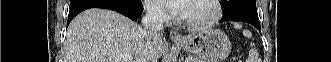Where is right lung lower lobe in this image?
<instances>
[{
  "instance_id": "obj_1",
  "label": "right lung lower lobe",
  "mask_w": 331,
  "mask_h": 62,
  "mask_svg": "<svg viewBox=\"0 0 331 62\" xmlns=\"http://www.w3.org/2000/svg\"><path fill=\"white\" fill-rule=\"evenodd\" d=\"M90 8L110 9L119 12L132 20H137L142 11V3L137 6H126L113 0H80L70 4L68 23L80 12Z\"/></svg>"
}]
</instances>
